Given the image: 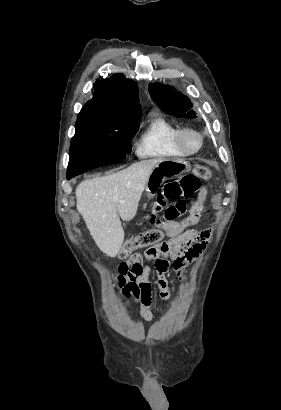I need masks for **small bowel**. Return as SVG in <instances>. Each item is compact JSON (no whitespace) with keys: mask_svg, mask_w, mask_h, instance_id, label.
I'll return each instance as SVG.
<instances>
[{"mask_svg":"<svg viewBox=\"0 0 281 410\" xmlns=\"http://www.w3.org/2000/svg\"><path fill=\"white\" fill-rule=\"evenodd\" d=\"M207 190L199 191L188 216L180 221L167 222L162 229L169 237L143 254H134L126 261L119 263L115 285L119 289V298L128 304H139L141 315L145 320L155 318L152 305V283L150 281L151 265L154 266L157 279L156 286L162 299L170 298L167 273L172 268L180 279H184L188 264L196 260L204 251L211 236V229H194L204 214V202Z\"/></svg>","mask_w":281,"mask_h":410,"instance_id":"small-bowel-1","label":"small bowel"}]
</instances>
